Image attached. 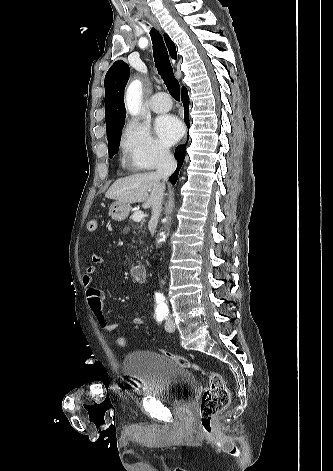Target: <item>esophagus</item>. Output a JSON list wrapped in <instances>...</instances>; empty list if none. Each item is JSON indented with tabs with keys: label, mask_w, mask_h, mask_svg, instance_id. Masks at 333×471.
<instances>
[{
	"label": "esophagus",
	"mask_w": 333,
	"mask_h": 471,
	"mask_svg": "<svg viewBox=\"0 0 333 471\" xmlns=\"http://www.w3.org/2000/svg\"><path fill=\"white\" fill-rule=\"evenodd\" d=\"M149 18H150V20H151L154 24H156V21H155V19H154L153 17L150 16ZM172 64H173L174 66H176V60L172 59Z\"/></svg>",
	"instance_id": "34e87169"
}]
</instances>
